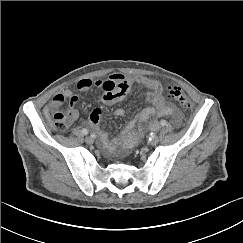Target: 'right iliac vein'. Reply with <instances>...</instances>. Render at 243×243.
I'll return each instance as SVG.
<instances>
[{"mask_svg":"<svg viewBox=\"0 0 243 243\" xmlns=\"http://www.w3.org/2000/svg\"><path fill=\"white\" fill-rule=\"evenodd\" d=\"M85 141H86V143H88V144H92L94 140H93L92 137L87 136V137L85 138Z\"/></svg>","mask_w":243,"mask_h":243,"instance_id":"obj_1","label":"right iliac vein"}]
</instances>
